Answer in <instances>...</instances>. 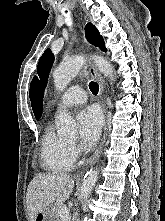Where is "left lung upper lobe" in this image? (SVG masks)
Segmentation results:
<instances>
[{"instance_id": "5c2ea615", "label": "left lung upper lobe", "mask_w": 165, "mask_h": 221, "mask_svg": "<svg viewBox=\"0 0 165 221\" xmlns=\"http://www.w3.org/2000/svg\"><path fill=\"white\" fill-rule=\"evenodd\" d=\"M85 35L87 40L91 44L99 47L104 52L107 51L102 36L99 34V31L95 26H93L92 23H88L86 25ZM53 61L54 55L52 54L50 49H47L38 62L37 73L39 79L37 77H34L30 85L31 106L37 120L40 119L42 115L44 89L47 84V78Z\"/></svg>"}]
</instances>
